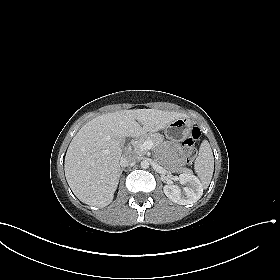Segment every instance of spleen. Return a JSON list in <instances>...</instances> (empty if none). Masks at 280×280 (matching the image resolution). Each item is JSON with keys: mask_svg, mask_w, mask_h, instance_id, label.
Listing matches in <instances>:
<instances>
[{"mask_svg": "<svg viewBox=\"0 0 280 280\" xmlns=\"http://www.w3.org/2000/svg\"><path fill=\"white\" fill-rule=\"evenodd\" d=\"M195 171L204 188H207L212 179L214 171V157L212 149L207 140H204L199 149L198 157L194 164Z\"/></svg>", "mask_w": 280, "mask_h": 280, "instance_id": "1", "label": "spleen"}]
</instances>
